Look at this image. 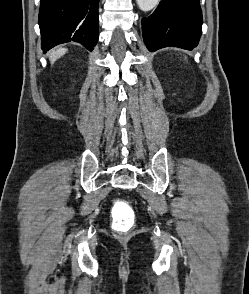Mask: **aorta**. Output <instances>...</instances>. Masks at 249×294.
<instances>
[{
	"label": "aorta",
	"mask_w": 249,
	"mask_h": 294,
	"mask_svg": "<svg viewBox=\"0 0 249 294\" xmlns=\"http://www.w3.org/2000/svg\"><path fill=\"white\" fill-rule=\"evenodd\" d=\"M136 2L142 11L148 12L158 4L159 0H136Z\"/></svg>",
	"instance_id": "762f6f07"
}]
</instances>
